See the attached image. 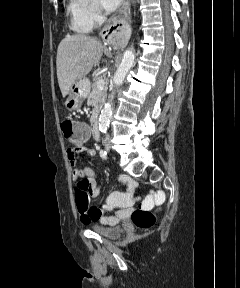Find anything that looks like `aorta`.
Wrapping results in <instances>:
<instances>
[{"instance_id":"1","label":"aorta","mask_w":240,"mask_h":288,"mask_svg":"<svg viewBox=\"0 0 240 288\" xmlns=\"http://www.w3.org/2000/svg\"><path fill=\"white\" fill-rule=\"evenodd\" d=\"M134 60H135V52L133 47H131L124 52L121 64L119 65L114 75L113 81L115 86H119L123 83L128 71L133 66ZM112 99L113 95H111V99L107 103H105L99 116V131L101 133H106L110 123V118L112 116V109H113Z\"/></svg>"}]
</instances>
